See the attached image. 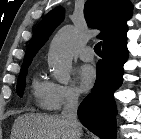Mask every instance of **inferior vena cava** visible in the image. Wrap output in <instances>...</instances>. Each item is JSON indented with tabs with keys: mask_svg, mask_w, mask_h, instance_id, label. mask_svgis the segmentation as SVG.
Instances as JSON below:
<instances>
[{
	"mask_svg": "<svg viewBox=\"0 0 141 139\" xmlns=\"http://www.w3.org/2000/svg\"><path fill=\"white\" fill-rule=\"evenodd\" d=\"M78 97L74 93L67 95L64 102L61 117L64 118L71 129L72 139H80L81 137V124L77 117Z\"/></svg>",
	"mask_w": 141,
	"mask_h": 139,
	"instance_id": "obj_1",
	"label": "inferior vena cava"
}]
</instances>
